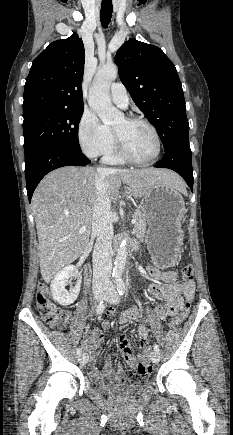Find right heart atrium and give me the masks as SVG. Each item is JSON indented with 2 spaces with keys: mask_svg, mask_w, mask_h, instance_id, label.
I'll use <instances>...</instances> for the list:
<instances>
[{
  "mask_svg": "<svg viewBox=\"0 0 233 435\" xmlns=\"http://www.w3.org/2000/svg\"><path fill=\"white\" fill-rule=\"evenodd\" d=\"M77 138L83 152L90 157L105 155L113 144L111 130L91 110H85L79 120Z\"/></svg>",
  "mask_w": 233,
  "mask_h": 435,
  "instance_id": "d8ad5b80",
  "label": "right heart atrium"
}]
</instances>
